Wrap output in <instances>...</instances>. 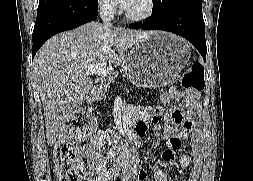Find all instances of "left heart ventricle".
<instances>
[{"label":"left heart ventricle","instance_id":"b2bd125f","mask_svg":"<svg viewBox=\"0 0 253 181\" xmlns=\"http://www.w3.org/2000/svg\"><path fill=\"white\" fill-rule=\"evenodd\" d=\"M147 0H134L133 4L126 11L133 14H140L146 10Z\"/></svg>","mask_w":253,"mask_h":181}]
</instances>
